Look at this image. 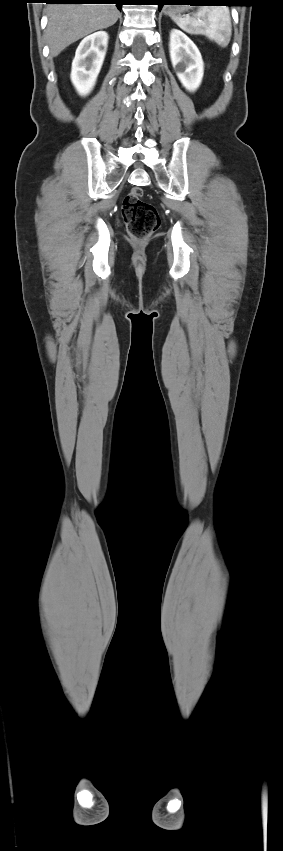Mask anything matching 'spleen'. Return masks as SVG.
<instances>
[{"label": "spleen", "instance_id": "3e777b00", "mask_svg": "<svg viewBox=\"0 0 283 851\" xmlns=\"http://www.w3.org/2000/svg\"><path fill=\"white\" fill-rule=\"evenodd\" d=\"M170 16L189 34H203L221 47H226L230 42L232 24L228 7H199L194 17Z\"/></svg>", "mask_w": 283, "mask_h": 851}]
</instances>
